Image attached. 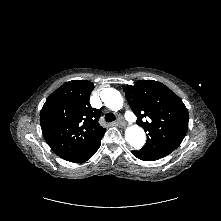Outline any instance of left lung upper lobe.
<instances>
[{"label": "left lung upper lobe", "instance_id": "5c2ea615", "mask_svg": "<svg viewBox=\"0 0 221 221\" xmlns=\"http://www.w3.org/2000/svg\"><path fill=\"white\" fill-rule=\"evenodd\" d=\"M123 90L138 117L137 124L148 132L147 142L140 151L160 158L173 152L188 129V110L182 100L154 80H139ZM144 117L148 119L145 121Z\"/></svg>", "mask_w": 221, "mask_h": 221}]
</instances>
